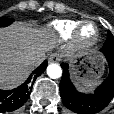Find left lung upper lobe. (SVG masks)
Returning a JSON list of instances; mask_svg holds the SVG:
<instances>
[{"label": "left lung upper lobe", "instance_id": "5c2ea615", "mask_svg": "<svg viewBox=\"0 0 114 114\" xmlns=\"http://www.w3.org/2000/svg\"><path fill=\"white\" fill-rule=\"evenodd\" d=\"M103 47L105 48H114V36L110 31L107 33V40L104 43Z\"/></svg>", "mask_w": 114, "mask_h": 114}]
</instances>
